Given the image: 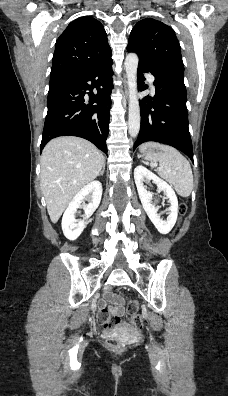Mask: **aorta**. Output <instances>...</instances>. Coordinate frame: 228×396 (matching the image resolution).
I'll return each mask as SVG.
<instances>
[{
	"label": "aorta",
	"mask_w": 228,
	"mask_h": 396,
	"mask_svg": "<svg viewBox=\"0 0 228 396\" xmlns=\"http://www.w3.org/2000/svg\"><path fill=\"white\" fill-rule=\"evenodd\" d=\"M138 56L135 53H129L125 59V69L129 89V112L128 126L129 134L135 138L140 130V106L137 97V68Z\"/></svg>",
	"instance_id": "762f6f07"
}]
</instances>
